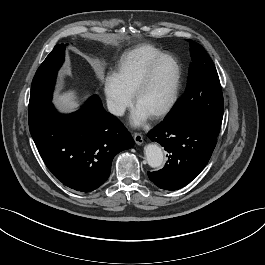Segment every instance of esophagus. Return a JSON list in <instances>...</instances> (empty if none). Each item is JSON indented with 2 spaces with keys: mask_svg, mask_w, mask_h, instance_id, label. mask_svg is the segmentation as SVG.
Listing matches in <instances>:
<instances>
[{
  "mask_svg": "<svg viewBox=\"0 0 265 265\" xmlns=\"http://www.w3.org/2000/svg\"><path fill=\"white\" fill-rule=\"evenodd\" d=\"M133 138L137 145H141L144 142L143 136L140 133H134Z\"/></svg>",
  "mask_w": 265,
  "mask_h": 265,
  "instance_id": "obj_1",
  "label": "esophagus"
}]
</instances>
